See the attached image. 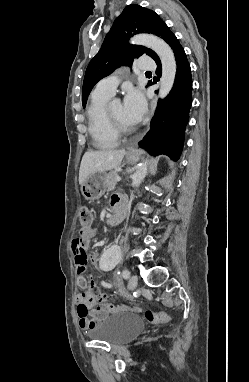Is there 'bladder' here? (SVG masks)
Masks as SVG:
<instances>
[{"label":"bladder","mask_w":249,"mask_h":382,"mask_svg":"<svg viewBox=\"0 0 249 382\" xmlns=\"http://www.w3.org/2000/svg\"><path fill=\"white\" fill-rule=\"evenodd\" d=\"M143 329L144 321L138 314L117 313L107 316L90 329L88 336L111 345H119L135 338Z\"/></svg>","instance_id":"bladder-1"}]
</instances>
